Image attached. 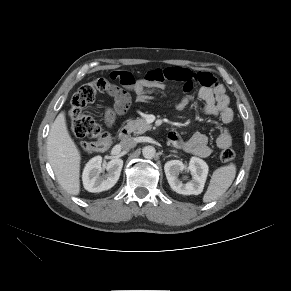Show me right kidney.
<instances>
[{
	"mask_svg": "<svg viewBox=\"0 0 291 291\" xmlns=\"http://www.w3.org/2000/svg\"><path fill=\"white\" fill-rule=\"evenodd\" d=\"M101 163L102 157L96 156L89 160L83 170V185L89 192L97 193L108 190L117 183L120 177L123 167L122 159L115 158L110 160L105 166L107 174L104 175L100 174L102 172Z\"/></svg>",
	"mask_w": 291,
	"mask_h": 291,
	"instance_id": "obj_1",
	"label": "right kidney"
}]
</instances>
